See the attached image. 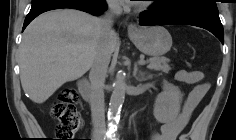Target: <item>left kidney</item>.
I'll return each instance as SVG.
<instances>
[{
	"mask_svg": "<svg viewBox=\"0 0 236 140\" xmlns=\"http://www.w3.org/2000/svg\"><path fill=\"white\" fill-rule=\"evenodd\" d=\"M182 95L178 87L170 83L163 85V91L157 96L154 104V116L160 123H168L180 112Z\"/></svg>",
	"mask_w": 236,
	"mask_h": 140,
	"instance_id": "5707ae66",
	"label": "left kidney"
}]
</instances>
